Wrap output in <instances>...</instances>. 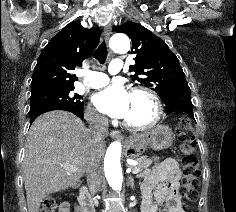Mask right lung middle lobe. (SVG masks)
<instances>
[{"label": "right lung middle lobe", "mask_w": 236, "mask_h": 212, "mask_svg": "<svg viewBox=\"0 0 236 212\" xmlns=\"http://www.w3.org/2000/svg\"><path fill=\"white\" fill-rule=\"evenodd\" d=\"M74 87H58L31 93V105L37 103L56 104L60 106L83 108L82 96L73 94Z\"/></svg>", "instance_id": "1"}]
</instances>
